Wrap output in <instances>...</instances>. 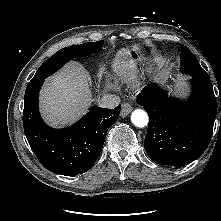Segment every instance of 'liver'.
Returning a JSON list of instances; mask_svg holds the SVG:
<instances>
[{
  "instance_id": "6515ba94",
  "label": "liver",
  "mask_w": 221,
  "mask_h": 221,
  "mask_svg": "<svg viewBox=\"0 0 221 221\" xmlns=\"http://www.w3.org/2000/svg\"><path fill=\"white\" fill-rule=\"evenodd\" d=\"M113 68L120 75L134 69L127 50L121 49L117 52ZM92 101L87 73L78 63L65 66L47 79L40 93L43 118L54 127H63L79 119Z\"/></svg>"
}]
</instances>
